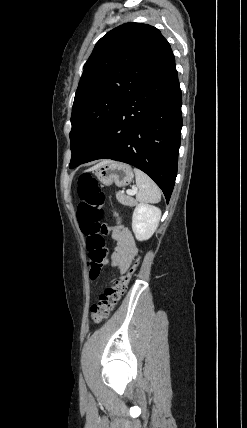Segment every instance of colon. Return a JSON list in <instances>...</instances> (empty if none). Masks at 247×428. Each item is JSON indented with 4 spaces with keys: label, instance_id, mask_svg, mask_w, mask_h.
<instances>
[{
    "label": "colon",
    "instance_id": "5ec220e1",
    "mask_svg": "<svg viewBox=\"0 0 247 428\" xmlns=\"http://www.w3.org/2000/svg\"><path fill=\"white\" fill-rule=\"evenodd\" d=\"M77 215L80 227L86 236L89 253V278H99L106 262L105 226L101 223L103 216L104 193L97 179L89 174H82L78 179ZM139 266L137 258L128 270L99 296L98 302L91 306V317L95 323L106 320L120 298L126 293L128 285Z\"/></svg>",
    "mask_w": 247,
    "mask_h": 428
}]
</instances>
